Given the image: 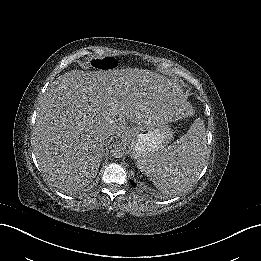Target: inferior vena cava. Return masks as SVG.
<instances>
[{"label": "inferior vena cava", "instance_id": "602c4592", "mask_svg": "<svg viewBox=\"0 0 261 261\" xmlns=\"http://www.w3.org/2000/svg\"><path fill=\"white\" fill-rule=\"evenodd\" d=\"M117 132H111L108 136H110V135H114V134H116Z\"/></svg>", "mask_w": 261, "mask_h": 261}]
</instances>
